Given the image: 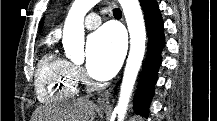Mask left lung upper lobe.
Wrapping results in <instances>:
<instances>
[{
    "instance_id": "left-lung-upper-lobe-1",
    "label": "left lung upper lobe",
    "mask_w": 217,
    "mask_h": 121,
    "mask_svg": "<svg viewBox=\"0 0 217 121\" xmlns=\"http://www.w3.org/2000/svg\"><path fill=\"white\" fill-rule=\"evenodd\" d=\"M42 24H43V19H42L41 22H40V28L42 27Z\"/></svg>"
}]
</instances>
